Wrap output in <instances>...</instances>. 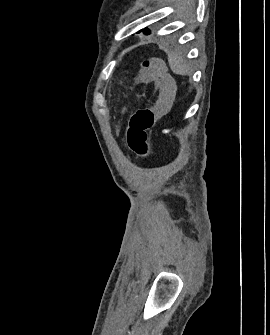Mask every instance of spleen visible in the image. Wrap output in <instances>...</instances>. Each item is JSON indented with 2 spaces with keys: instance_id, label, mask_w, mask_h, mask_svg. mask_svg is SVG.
<instances>
[{
  "instance_id": "1",
  "label": "spleen",
  "mask_w": 270,
  "mask_h": 335,
  "mask_svg": "<svg viewBox=\"0 0 270 335\" xmlns=\"http://www.w3.org/2000/svg\"><path fill=\"white\" fill-rule=\"evenodd\" d=\"M168 62L174 74H180V76H190L191 68H189L188 64H186V60L182 58L181 54H177V52H169Z\"/></svg>"
}]
</instances>
